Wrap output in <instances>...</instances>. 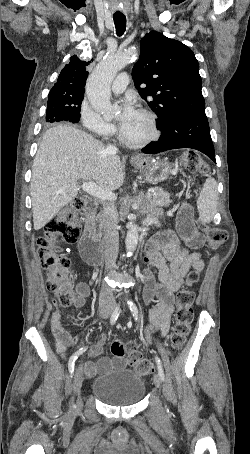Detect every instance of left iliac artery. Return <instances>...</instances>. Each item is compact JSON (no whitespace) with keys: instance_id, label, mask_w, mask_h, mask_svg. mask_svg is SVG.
<instances>
[{"instance_id":"44dca946","label":"left iliac artery","mask_w":250,"mask_h":454,"mask_svg":"<svg viewBox=\"0 0 250 454\" xmlns=\"http://www.w3.org/2000/svg\"><path fill=\"white\" fill-rule=\"evenodd\" d=\"M127 304H128V306L130 308V311H131L134 319L136 321H138V308H137L136 304L133 303L130 300L127 301ZM155 360H156V363H157L158 374L160 375L161 379L164 380V371H163V368H162L161 361H160V359L158 357H155Z\"/></svg>"}]
</instances>
